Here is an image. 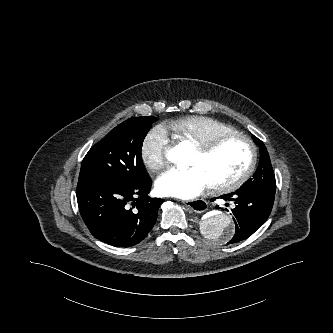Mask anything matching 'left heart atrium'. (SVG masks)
<instances>
[{
	"label": "left heart atrium",
	"instance_id": "39dd6f15",
	"mask_svg": "<svg viewBox=\"0 0 333 333\" xmlns=\"http://www.w3.org/2000/svg\"><path fill=\"white\" fill-rule=\"evenodd\" d=\"M211 186V182L198 166L171 168L156 181L157 190L166 196L191 199Z\"/></svg>",
	"mask_w": 333,
	"mask_h": 333
}]
</instances>
